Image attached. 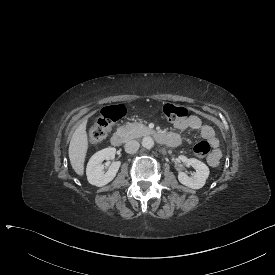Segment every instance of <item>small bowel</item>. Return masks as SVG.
Listing matches in <instances>:
<instances>
[{"mask_svg": "<svg viewBox=\"0 0 275 275\" xmlns=\"http://www.w3.org/2000/svg\"><path fill=\"white\" fill-rule=\"evenodd\" d=\"M175 127L178 130H200V135L203 139L210 142L213 147V152L209 156L208 162L210 165L215 166L218 164L221 151L219 149V142L215 136L214 130L209 125H203L201 119L197 115H190L185 119H180L174 122ZM172 137H178L176 135H172Z\"/></svg>", "mask_w": 275, "mask_h": 275, "instance_id": "small-bowel-1", "label": "small bowel"}]
</instances>
